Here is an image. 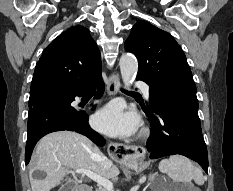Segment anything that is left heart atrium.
Segmentation results:
<instances>
[{"mask_svg":"<svg viewBox=\"0 0 233 191\" xmlns=\"http://www.w3.org/2000/svg\"><path fill=\"white\" fill-rule=\"evenodd\" d=\"M92 124L107 135L129 137L138 130L140 120L136 114L126 112L121 104L111 103L94 114Z\"/></svg>","mask_w":233,"mask_h":191,"instance_id":"left-heart-atrium-1","label":"left heart atrium"}]
</instances>
